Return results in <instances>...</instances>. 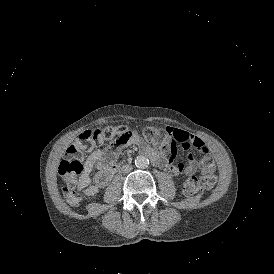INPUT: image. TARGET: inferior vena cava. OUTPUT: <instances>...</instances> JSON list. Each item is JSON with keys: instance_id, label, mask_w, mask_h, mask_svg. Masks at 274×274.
<instances>
[{"instance_id": "1", "label": "inferior vena cava", "mask_w": 274, "mask_h": 274, "mask_svg": "<svg viewBox=\"0 0 274 274\" xmlns=\"http://www.w3.org/2000/svg\"><path fill=\"white\" fill-rule=\"evenodd\" d=\"M132 170V166L131 165H124L122 168L123 172H129Z\"/></svg>"}]
</instances>
